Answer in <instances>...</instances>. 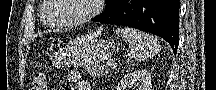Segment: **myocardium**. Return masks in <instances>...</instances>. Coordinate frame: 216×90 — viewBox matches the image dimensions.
<instances>
[{
	"instance_id": "1",
	"label": "myocardium",
	"mask_w": 216,
	"mask_h": 90,
	"mask_svg": "<svg viewBox=\"0 0 216 90\" xmlns=\"http://www.w3.org/2000/svg\"><path fill=\"white\" fill-rule=\"evenodd\" d=\"M48 2H54V5H53V8H51V11H48V14H46V17H44V20L42 21L43 24L47 28L53 31H70V30L83 26L85 23L95 18L100 12L99 3H102V0H89L88 1V3L90 4L89 11L82 17L81 20H79L78 22L72 25H67V26H55L49 22V21H52V18H54V15H57V12H61V9H63V2H59V0H48Z\"/></svg>"
}]
</instances>
